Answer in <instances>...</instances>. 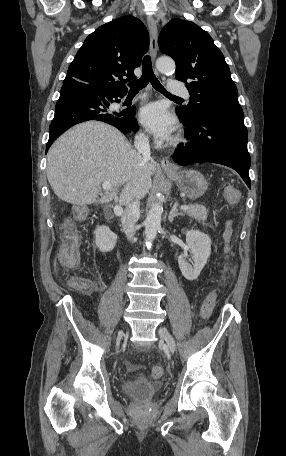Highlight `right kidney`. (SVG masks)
<instances>
[{
	"label": "right kidney",
	"mask_w": 286,
	"mask_h": 456,
	"mask_svg": "<svg viewBox=\"0 0 286 456\" xmlns=\"http://www.w3.org/2000/svg\"><path fill=\"white\" fill-rule=\"evenodd\" d=\"M95 244L101 252H110L117 242V235L108 226H98L95 231Z\"/></svg>",
	"instance_id": "right-kidney-1"
}]
</instances>
